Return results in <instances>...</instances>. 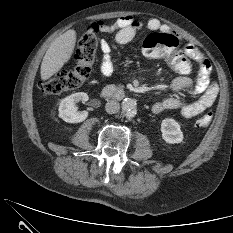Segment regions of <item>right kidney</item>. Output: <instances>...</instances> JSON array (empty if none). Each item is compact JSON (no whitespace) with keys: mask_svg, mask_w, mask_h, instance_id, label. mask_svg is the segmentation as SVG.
<instances>
[{"mask_svg":"<svg viewBox=\"0 0 233 233\" xmlns=\"http://www.w3.org/2000/svg\"><path fill=\"white\" fill-rule=\"evenodd\" d=\"M89 100L88 94L84 92L74 93L62 99L59 105V117L68 123L83 122L87 116V111H78L76 104L78 102H87Z\"/></svg>","mask_w":233,"mask_h":233,"instance_id":"1","label":"right kidney"}]
</instances>
